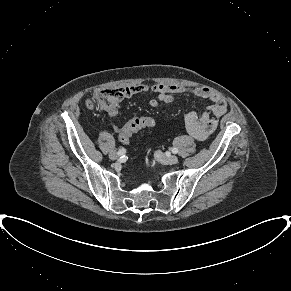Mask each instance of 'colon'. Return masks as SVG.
Wrapping results in <instances>:
<instances>
[{
    "mask_svg": "<svg viewBox=\"0 0 291 291\" xmlns=\"http://www.w3.org/2000/svg\"><path fill=\"white\" fill-rule=\"evenodd\" d=\"M124 97V89L122 88H102L96 90L92 96L87 100V106L90 108H97L101 110H109L116 107ZM155 121L149 116H139L131 119L122 128L120 133V141L127 144L131 136L143 129L152 127Z\"/></svg>",
    "mask_w": 291,
    "mask_h": 291,
    "instance_id": "5ec220e1",
    "label": "colon"
}]
</instances>
